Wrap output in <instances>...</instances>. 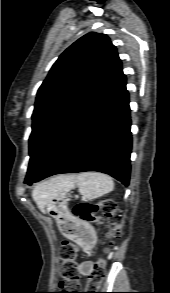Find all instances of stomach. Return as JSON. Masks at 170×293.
I'll return each mask as SVG.
<instances>
[{
    "mask_svg": "<svg viewBox=\"0 0 170 293\" xmlns=\"http://www.w3.org/2000/svg\"><path fill=\"white\" fill-rule=\"evenodd\" d=\"M45 211L54 217L59 225L66 224L67 220L71 219V214L69 212L67 201L64 195L58 193L57 195L49 198L45 205ZM66 235L73 240L81 242L84 245L88 243L85 242L84 238L77 231L69 232L64 230ZM84 231L89 232L93 238L94 233L90 226H85Z\"/></svg>",
    "mask_w": 170,
    "mask_h": 293,
    "instance_id": "0dacf381",
    "label": "stomach"
}]
</instances>
